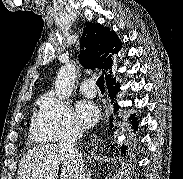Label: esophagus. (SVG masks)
Segmentation results:
<instances>
[{
  "mask_svg": "<svg viewBox=\"0 0 183 179\" xmlns=\"http://www.w3.org/2000/svg\"><path fill=\"white\" fill-rule=\"evenodd\" d=\"M110 114H111L110 110H107L106 111V114H105V120H106V122L108 121V119L110 117Z\"/></svg>",
  "mask_w": 183,
  "mask_h": 179,
  "instance_id": "esophagus-1",
  "label": "esophagus"
}]
</instances>
